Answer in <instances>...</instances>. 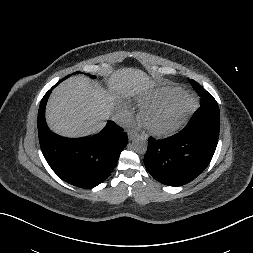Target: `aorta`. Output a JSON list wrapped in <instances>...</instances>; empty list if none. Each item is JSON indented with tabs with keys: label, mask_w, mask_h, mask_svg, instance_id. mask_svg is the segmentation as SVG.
Masks as SVG:
<instances>
[{
	"label": "aorta",
	"mask_w": 253,
	"mask_h": 253,
	"mask_svg": "<svg viewBox=\"0 0 253 253\" xmlns=\"http://www.w3.org/2000/svg\"><path fill=\"white\" fill-rule=\"evenodd\" d=\"M132 145H133V149H134V151L136 153H138V154H144L147 151L148 142L143 137H137L132 142Z\"/></svg>",
	"instance_id": "obj_1"
}]
</instances>
